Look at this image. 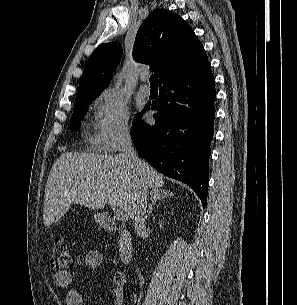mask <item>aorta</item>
<instances>
[{
  "instance_id": "obj_1",
  "label": "aorta",
  "mask_w": 297,
  "mask_h": 305,
  "mask_svg": "<svg viewBox=\"0 0 297 305\" xmlns=\"http://www.w3.org/2000/svg\"><path fill=\"white\" fill-rule=\"evenodd\" d=\"M114 82H115L114 83L115 88L118 89L121 85V82H122L121 74H117L115 76Z\"/></svg>"
}]
</instances>
